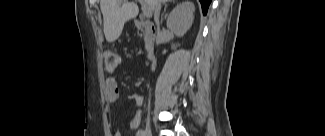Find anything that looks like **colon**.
<instances>
[{
  "label": "colon",
  "instance_id": "obj_1",
  "mask_svg": "<svg viewBox=\"0 0 325 136\" xmlns=\"http://www.w3.org/2000/svg\"><path fill=\"white\" fill-rule=\"evenodd\" d=\"M104 70L107 73H113L121 64V55L113 50L107 49L103 54Z\"/></svg>",
  "mask_w": 325,
  "mask_h": 136
}]
</instances>
